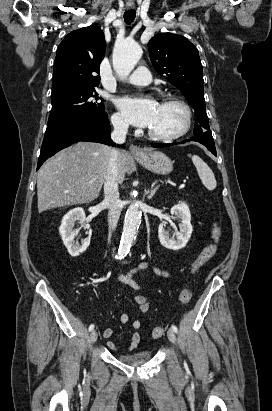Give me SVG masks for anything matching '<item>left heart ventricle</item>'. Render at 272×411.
Masks as SVG:
<instances>
[{
    "mask_svg": "<svg viewBox=\"0 0 272 411\" xmlns=\"http://www.w3.org/2000/svg\"><path fill=\"white\" fill-rule=\"evenodd\" d=\"M185 121L183 110L171 103H160L153 124L150 129L161 135L178 132Z\"/></svg>",
    "mask_w": 272,
    "mask_h": 411,
    "instance_id": "left-heart-ventricle-1",
    "label": "left heart ventricle"
}]
</instances>
